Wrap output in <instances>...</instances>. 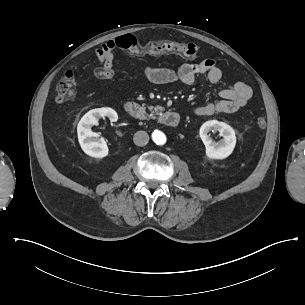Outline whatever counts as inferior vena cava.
<instances>
[{
	"label": "inferior vena cava",
	"instance_id": "1",
	"mask_svg": "<svg viewBox=\"0 0 305 305\" xmlns=\"http://www.w3.org/2000/svg\"><path fill=\"white\" fill-rule=\"evenodd\" d=\"M133 141L137 146H145L149 141V135L145 131H137L134 134Z\"/></svg>",
	"mask_w": 305,
	"mask_h": 305
}]
</instances>
